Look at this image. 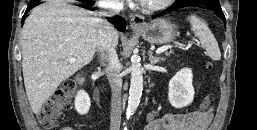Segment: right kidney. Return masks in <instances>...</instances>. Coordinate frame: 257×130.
Wrapping results in <instances>:
<instances>
[{
	"mask_svg": "<svg viewBox=\"0 0 257 130\" xmlns=\"http://www.w3.org/2000/svg\"><path fill=\"white\" fill-rule=\"evenodd\" d=\"M75 109L80 115H85L89 112L91 101L89 95L84 91H78L75 97Z\"/></svg>",
	"mask_w": 257,
	"mask_h": 130,
	"instance_id": "obj_1",
	"label": "right kidney"
}]
</instances>
